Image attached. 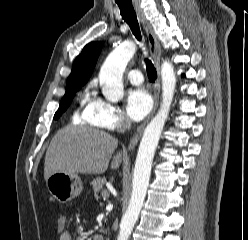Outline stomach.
<instances>
[{"label":"stomach","instance_id":"0dacf381","mask_svg":"<svg viewBox=\"0 0 248 240\" xmlns=\"http://www.w3.org/2000/svg\"><path fill=\"white\" fill-rule=\"evenodd\" d=\"M50 194L60 203H67L77 197L83 189L82 181L77 174L56 172L46 180Z\"/></svg>","mask_w":248,"mask_h":240}]
</instances>
